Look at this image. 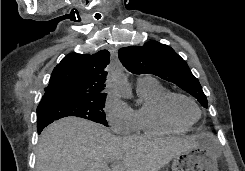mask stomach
Listing matches in <instances>:
<instances>
[{
    "mask_svg": "<svg viewBox=\"0 0 245 171\" xmlns=\"http://www.w3.org/2000/svg\"><path fill=\"white\" fill-rule=\"evenodd\" d=\"M173 171H218L217 152L212 138L203 136L198 146L174 157Z\"/></svg>",
    "mask_w": 245,
    "mask_h": 171,
    "instance_id": "obj_1",
    "label": "stomach"
}]
</instances>
